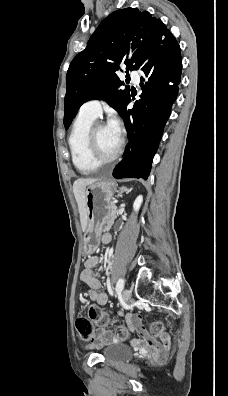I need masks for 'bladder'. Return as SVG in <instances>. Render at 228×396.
Wrapping results in <instances>:
<instances>
[{"label":"bladder","instance_id":"31cf9c89","mask_svg":"<svg viewBox=\"0 0 228 396\" xmlns=\"http://www.w3.org/2000/svg\"><path fill=\"white\" fill-rule=\"evenodd\" d=\"M102 354L107 361L124 362L130 360L133 356L132 349L121 343H109L102 349Z\"/></svg>","mask_w":228,"mask_h":396}]
</instances>
